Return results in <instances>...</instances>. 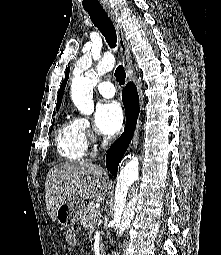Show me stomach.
Returning <instances> with one entry per match:
<instances>
[{"mask_svg": "<svg viewBox=\"0 0 221 255\" xmlns=\"http://www.w3.org/2000/svg\"><path fill=\"white\" fill-rule=\"evenodd\" d=\"M85 203L80 199H69L56 210L55 218L62 226H72L82 217Z\"/></svg>", "mask_w": 221, "mask_h": 255, "instance_id": "obj_1", "label": "stomach"}]
</instances>
